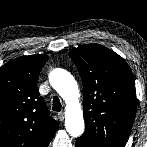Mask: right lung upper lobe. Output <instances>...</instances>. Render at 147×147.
Returning a JSON list of instances; mask_svg holds the SVG:
<instances>
[{
	"instance_id": "right-lung-upper-lobe-1",
	"label": "right lung upper lobe",
	"mask_w": 147,
	"mask_h": 147,
	"mask_svg": "<svg viewBox=\"0 0 147 147\" xmlns=\"http://www.w3.org/2000/svg\"><path fill=\"white\" fill-rule=\"evenodd\" d=\"M45 54L0 67V147H47L58 129L37 89Z\"/></svg>"
}]
</instances>
